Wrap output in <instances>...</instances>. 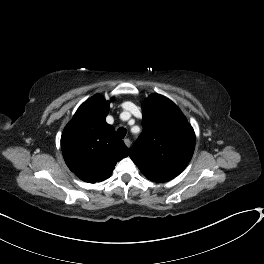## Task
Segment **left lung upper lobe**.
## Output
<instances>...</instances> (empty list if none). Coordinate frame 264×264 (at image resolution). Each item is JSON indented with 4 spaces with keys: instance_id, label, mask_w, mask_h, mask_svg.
Here are the masks:
<instances>
[{
    "instance_id": "5c2ea615",
    "label": "left lung upper lobe",
    "mask_w": 264,
    "mask_h": 264,
    "mask_svg": "<svg viewBox=\"0 0 264 264\" xmlns=\"http://www.w3.org/2000/svg\"><path fill=\"white\" fill-rule=\"evenodd\" d=\"M143 132L130 157L146 178L167 182L188 165L195 133L179 108L168 98L153 94L143 103Z\"/></svg>"
}]
</instances>
